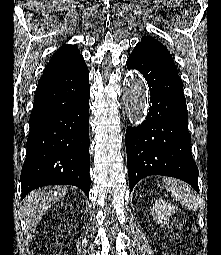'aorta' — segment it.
Instances as JSON below:
<instances>
[{"label": "aorta", "mask_w": 221, "mask_h": 255, "mask_svg": "<svg viewBox=\"0 0 221 255\" xmlns=\"http://www.w3.org/2000/svg\"><path fill=\"white\" fill-rule=\"evenodd\" d=\"M130 120L140 124L145 119L148 107V91L139 77L129 80L126 92Z\"/></svg>", "instance_id": "aorta-1"}]
</instances>
